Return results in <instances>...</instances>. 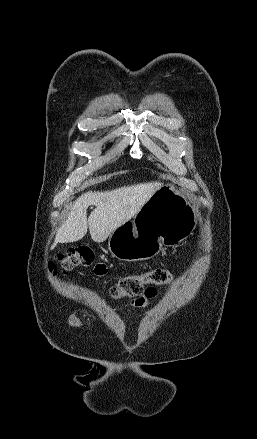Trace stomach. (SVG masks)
<instances>
[{
	"instance_id": "1",
	"label": "stomach",
	"mask_w": 257,
	"mask_h": 439,
	"mask_svg": "<svg viewBox=\"0 0 257 439\" xmlns=\"http://www.w3.org/2000/svg\"><path fill=\"white\" fill-rule=\"evenodd\" d=\"M197 209L191 198L173 183L163 184L133 217L109 236L113 257L132 262L157 255L162 246H175L192 234Z\"/></svg>"
}]
</instances>
